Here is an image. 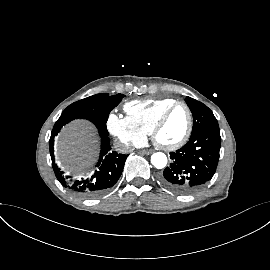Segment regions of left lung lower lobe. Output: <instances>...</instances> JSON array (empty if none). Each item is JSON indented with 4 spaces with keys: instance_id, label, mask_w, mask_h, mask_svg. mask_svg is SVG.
I'll use <instances>...</instances> for the list:
<instances>
[{
    "instance_id": "left-lung-lower-lobe-1",
    "label": "left lung lower lobe",
    "mask_w": 270,
    "mask_h": 270,
    "mask_svg": "<svg viewBox=\"0 0 270 270\" xmlns=\"http://www.w3.org/2000/svg\"><path fill=\"white\" fill-rule=\"evenodd\" d=\"M220 144L219 129H204L191 136L182 148L170 153L172 161L161 176L163 185L179 194L201 189L215 174Z\"/></svg>"
}]
</instances>
